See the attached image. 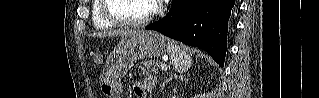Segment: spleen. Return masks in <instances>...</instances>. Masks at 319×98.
I'll use <instances>...</instances> for the list:
<instances>
[{
  "instance_id": "spleen-1",
  "label": "spleen",
  "mask_w": 319,
  "mask_h": 98,
  "mask_svg": "<svg viewBox=\"0 0 319 98\" xmlns=\"http://www.w3.org/2000/svg\"><path fill=\"white\" fill-rule=\"evenodd\" d=\"M168 52L177 72H185L192 65V58L180 46L169 44Z\"/></svg>"
}]
</instances>
